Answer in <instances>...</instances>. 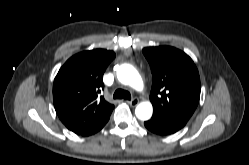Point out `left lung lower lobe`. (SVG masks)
<instances>
[{
	"instance_id": "0a47b994",
	"label": "left lung lower lobe",
	"mask_w": 249,
	"mask_h": 165,
	"mask_svg": "<svg viewBox=\"0 0 249 165\" xmlns=\"http://www.w3.org/2000/svg\"><path fill=\"white\" fill-rule=\"evenodd\" d=\"M187 121L167 115L153 113L150 120L144 122L145 127L159 135H169L185 126Z\"/></svg>"
}]
</instances>
